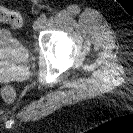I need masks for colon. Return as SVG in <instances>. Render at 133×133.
Masks as SVG:
<instances>
[{
    "label": "colon",
    "mask_w": 133,
    "mask_h": 133,
    "mask_svg": "<svg viewBox=\"0 0 133 133\" xmlns=\"http://www.w3.org/2000/svg\"><path fill=\"white\" fill-rule=\"evenodd\" d=\"M0 21L7 22L13 27H19L21 25V16L14 11H10L7 8L0 7ZM2 97L5 101L12 102L15 99V92L10 88H4L2 90Z\"/></svg>",
    "instance_id": "obj_1"
}]
</instances>
